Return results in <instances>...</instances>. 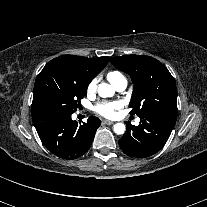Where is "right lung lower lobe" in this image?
<instances>
[{
  "label": "right lung lower lobe",
  "mask_w": 207,
  "mask_h": 207,
  "mask_svg": "<svg viewBox=\"0 0 207 207\" xmlns=\"http://www.w3.org/2000/svg\"><path fill=\"white\" fill-rule=\"evenodd\" d=\"M72 114L58 109L32 112V120L42 143L51 153L67 160L87 152L101 124L97 117H89L86 123L78 125L71 119Z\"/></svg>",
  "instance_id": "obj_1"
}]
</instances>
